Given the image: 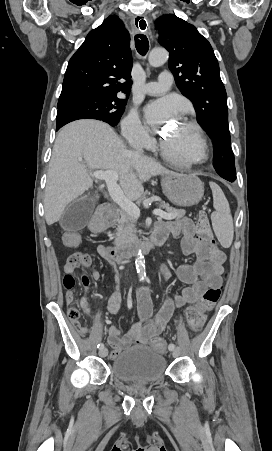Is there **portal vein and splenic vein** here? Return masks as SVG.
Here are the masks:
<instances>
[{"instance_id":"18ae733b","label":"portal vein and splenic vein","mask_w":272,"mask_h":451,"mask_svg":"<svg viewBox=\"0 0 272 451\" xmlns=\"http://www.w3.org/2000/svg\"><path fill=\"white\" fill-rule=\"evenodd\" d=\"M79 160H82V158H79ZM92 176L93 178H96V180H105L113 202H116L121 210H124L129 216H132L133 220L139 218V208L124 196L120 186L117 184L119 178L117 172H114V170H106V172H103V170H96V172H93ZM153 214L154 216H158V218H163V220H174V218H176L174 214H166L163 210H153Z\"/></svg>"}]
</instances>
